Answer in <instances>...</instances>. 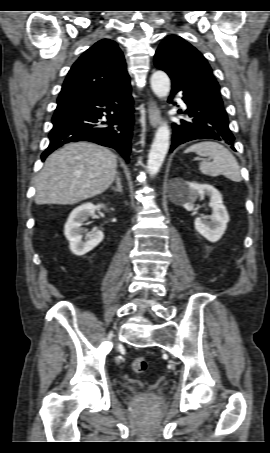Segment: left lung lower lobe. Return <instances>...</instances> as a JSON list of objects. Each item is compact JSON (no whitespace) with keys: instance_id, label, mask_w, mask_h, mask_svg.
<instances>
[{"instance_id":"0a47b994","label":"left lung lower lobe","mask_w":270,"mask_h":453,"mask_svg":"<svg viewBox=\"0 0 270 453\" xmlns=\"http://www.w3.org/2000/svg\"><path fill=\"white\" fill-rule=\"evenodd\" d=\"M179 91L183 92V101L188 108V120L173 123V138L170 152L185 142L196 139H216L225 141L235 151L234 136L229 129V122L223 106L200 99L188 92L180 84L172 82V97Z\"/></svg>"}]
</instances>
